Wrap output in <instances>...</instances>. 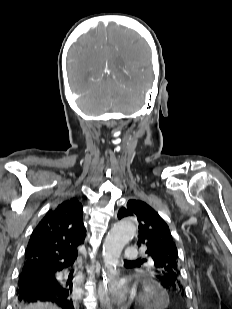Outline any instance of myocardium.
Returning <instances> with one entry per match:
<instances>
[{"label": "myocardium", "mask_w": 232, "mask_h": 309, "mask_svg": "<svg viewBox=\"0 0 232 309\" xmlns=\"http://www.w3.org/2000/svg\"><path fill=\"white\" fill-rule=\"evenodd\" d=\"M157 291L154 285L145 284L139 295V302L142 306H148L156 297Z\"/></svg>", "instance_id": "f54148a6"}]
</instances>
